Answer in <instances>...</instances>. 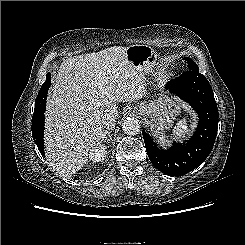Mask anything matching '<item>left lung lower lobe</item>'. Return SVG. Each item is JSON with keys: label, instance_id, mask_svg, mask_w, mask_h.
Here are the masks:
<instances>
[{"label": "left lung lower lobe", "instance_id": "obj_1", "mask_svg": "<svg viewBox=\"0 0 245 245\" xmlns=\"http://www.w3.org/2000/svg\"><path fill=\"white\" fill-rule=\"evenodd\" d=\"M166 89L185 100L198 114V126L189 141L163 150L143 131L151 163L170 176H182L197 168L209 156L217 135L218 109L213 90L199 70H188L172 79Z\"/></svg>", "mask_w": 245, "mask_h": 245}]
</instances>
